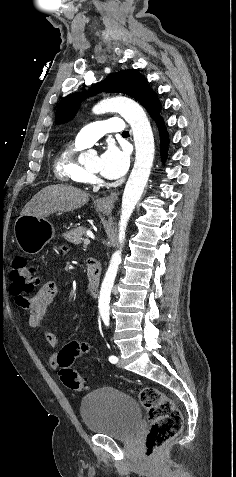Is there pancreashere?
Instances as JSON below:
<instances>
[{
    "mask_svg": "<svg viewBox=\"0 0 236 477\" xmlns=\"http://www.w3.org/2000/svg\"><path fill=\"white\" fill-rule=\"evenodd\" d=\"M87 228L80 226L74 230L68 231L63 234V237L70 243L79 245L84 240L83 236H86Z\"/></svg>",
    "mask_w": 236,
    "mask_h": 477,
    "instance_id": "1",
    "label": "pancreas"
}]
</instances>
